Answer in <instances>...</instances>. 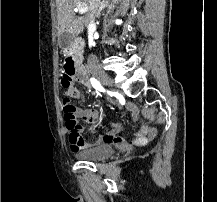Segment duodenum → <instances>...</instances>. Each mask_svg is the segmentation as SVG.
<instances>
[{
    "mask_svg": "<svg viewBox=\"0 0 217 202\" xmlns=\"http://www.w3.org/2000/svg\"><path fill=\"white\" fill-rule=\"evenodd\" d=\"M81 42H76L72 48H65L62 53L65 57L64 70L65 73L75 81L90 86L87 71L82 64L81 58Z\"/></svg>",
    "mask_w": 217,
    "mask_h": 202,
    "instance_id": "1",
    "label": "duodenum"
}]
</instances>
